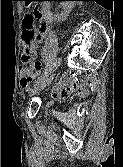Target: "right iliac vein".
Returning <instances> with one entry per match:
<instances>
[{
	"label": "right iliac vein",
	"instance_id": "63e3f726",
	"mask_svg": "<svg viewBox=\"0 0 123 167\" xmlns=\"http://www.w3.org/2000/svg\"><path fill=\"white\" fill-rule=\"evenodd\" d=\"M53 78H54V73L52 72L48 77H45L41 82L36 84L35 88L32 91V94H35L36 92L48 86L53 81Z\"/></svg>",
	"mask_w": 123,
	"mask_h": 167
}]
</instances>
